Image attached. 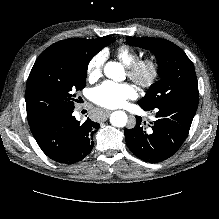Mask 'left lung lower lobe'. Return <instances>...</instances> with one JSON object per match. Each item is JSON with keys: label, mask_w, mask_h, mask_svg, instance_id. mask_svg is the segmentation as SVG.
I'll return each instance as SVG.
<instances>
[{"label": "left lung lower lobe", "mask_w": 219, "mask_h": 219, "mask_svg": "<svg viewBox=\"0 0 219 219\" xmlns=\"http://www.w3.org/2000/svg\"><path fill=\"white\" fill-rule=\"evenodd\" d=\"M154 110L156 120L145 126L141 117L133 129H125L128 148L141 160L157 163L168 159L185 141L197 110L198 98H186L168 105L147 107Z\"/></svg>", "instance_id": "0a47b994"}]
</instances>
